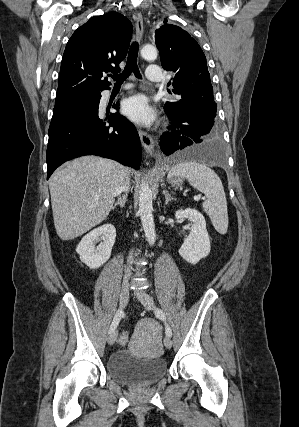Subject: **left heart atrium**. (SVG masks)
<instances>
[{
	"label": "left heart atrium",
	"mask_w": 299,
	"mask_h": 427,
	"mask_svg": "<svg viewBox=\"0 0 299 427\" xmlns=\"http://www.w3.org/2000/svg\"><path fill=\"white\" fill-rule=\"evenodd\" d=\"M122 112L132 121L143 125H148L155 119V112L144 95L126 99L122 104Z\"/></svg>",
	"instance_id": "left-heart-atrium-1"
}]
</instances>
